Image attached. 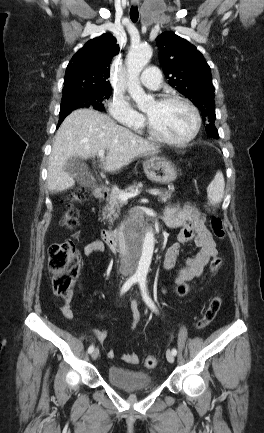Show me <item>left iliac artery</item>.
I'll use <instances>...</instances> for the list:
<instances>
[{"mask_svg":"<svg viewBox=\"0 0 264 433\" xmlns=\"http://www.w3.org/2000/svg\"><path fill=\"white\" fill-rule=\"evenodd\" d=\"M139 282V286L142 292V297L144 299V301L146 302V304L155 312H158L156 306L154 305L152 299L149 297L148 293H147V288H146V279L145 278H140L138 280ZM172 354L175 356L177 354V350L174 348L172 349Z\"/></svg>","mask_w":264,"mask_h":433,"instance_id":"obj_1","label":"left iliac artery"}]
</instances>
